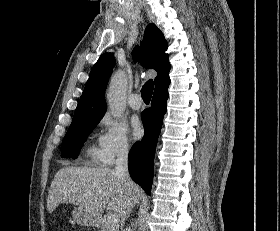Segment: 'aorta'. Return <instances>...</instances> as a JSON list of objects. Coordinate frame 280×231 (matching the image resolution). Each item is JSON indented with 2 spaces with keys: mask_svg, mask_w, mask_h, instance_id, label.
Instances as JSON below:
<instances>
[{
  "mask_svg": "<svg viewBox=\"0 0 280 231\" xmlns=\"http://www.w3.org/2000/svg\"><path fill=\"white\" fill-rule=\"evenodd\" d=\"M123 76V72L118 70V72L112 76L107 90V102L111 116L113 117L122 116L126 108V88Z\"/></svg>",
  "mask_w": 280,
  "mask_h": 231,
  "instance_id": "1",
  "label": "aorta"
}]
</instances>
